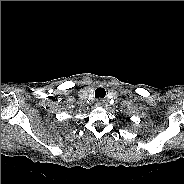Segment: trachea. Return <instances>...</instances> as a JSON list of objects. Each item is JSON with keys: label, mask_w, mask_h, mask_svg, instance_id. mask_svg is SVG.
<instances>
[{"label": "trachea", "mask_w": 184, "mask_h": 184, "mask_svg": "<svg viewBox=\"0 0 184 184\" xmlns=\"http://www.w3.org/2000/svg\"><path fill=\"white\" fill-rule=\"evenodd\" d=\"M106 95V91L104 88L102 87H98L96 90H95V98H104Z\"/></svg>", "instance_id": "obj_1"}]
</instances>
